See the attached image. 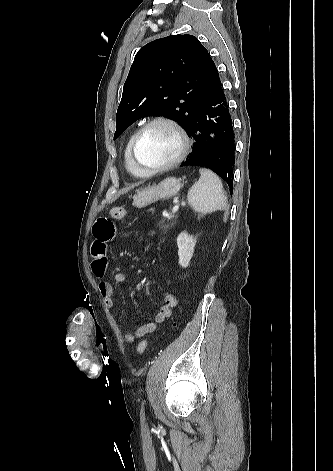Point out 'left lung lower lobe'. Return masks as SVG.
Segmentation results:
<instances>
[{"label":"left lung lower lobe","mask_w":333,"mask_h":471,"mask_svg":"<svg viewBox=\"0 0 333 471\" xmlns=\"http://www.w3.org/2000/svg\"><path fill=\"white\" fill-rule=\"evenodd\" d=\"M187 133L194 139L193 151L181 166L197 165L212 169L226 181L232 192L235 138L217 68Z\"/></svg>","instance_id":"0a47b994"}]
</instances>
